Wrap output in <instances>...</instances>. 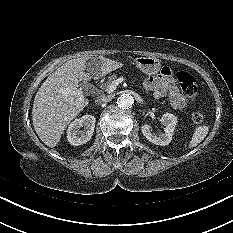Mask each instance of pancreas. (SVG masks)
Segmentation results:
<instances>
[{"instance_id": "pancreas-1", "label": "pancreas", "mask_w": 233, "mask_h": 233, "mask_svg": "<svg viewBox=\"0 0 233 233\" xmlns=\"http://www.w3.org/2000/svg\"><path fill=\"white\" fill-rule=\"evenodd\" d=\"M116 78H117L116 75H112V76L108 77V80H107L105 83H103V84L101 85V88L104 89L105 91L109 92V85H110L113 81H115Z\"/></svg>"}]
</instances>
